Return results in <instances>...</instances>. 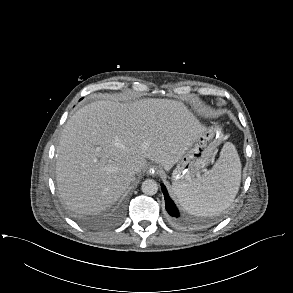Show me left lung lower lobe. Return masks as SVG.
Segmentation results:
<instances>
[{
  "label": "left lung lower lobe",
  "instance_id": "0a47b994",
  "mask_svg": "<svg viewBox=\"0 0 293 293\" xmlns=\"http://www.w3.org/2000/svg\"><path fill=\"white\" fill-rule=\"evenodd\" d=\"M161 188L165 197V204H166V210L168 212V214L170 215L171 219L179 222L178 218H179V212L178 209L176 208L175 204L173 203V201L170 199L168 192L165 188V186L163 184H161Z\"/></svg>",
  "mask_w": 293,
  "mask_h": 293
}]
</instances>
